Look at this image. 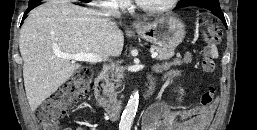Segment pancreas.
Listing matches in <instances>:
<instances>
[{"instance_id":"cf45deb5","label":"pancreas","mask_w":257,"mask_h":130,"mask_svg":"<svg viewBox=\"0 0 257 130\" xmlns=\"http://www.w3.org/2000/svg\"><path fill=\"white\" fill-rule=\"evenodd\" d=\"M152 48L158 53V56L156 57L158 60H169L174 56L173 48H164L160 46H153ZM118 77H122V75L119 74Z\"/></svg>"}]
</instances>
